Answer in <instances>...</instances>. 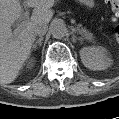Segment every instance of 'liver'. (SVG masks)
<instances>
[{
  "instance_id": "liver-1",
  "label": "liver",
  "mask_w": 119,
  "mask_h": 119,
  "mask_svg": "<svg viewBox=\"0 0 119 119\" xmlns=\"http://www.w3.org/2000/svg\"><path fill=\"white\" fill-rule=\"evenodd\" d=\"M33 7L31 19L13 35L11 25L20 18L19 0H0V83H12L26 60L35 40L33 29L39 24H48L53 17L51 8L55 0H26Z\"/></svg>"
}]
</instances>
